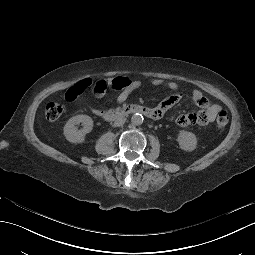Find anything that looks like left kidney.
<instances>
[{
    "instance_id": "5707ae66",
    "label": "left kidney",
    "mask_w": 255,
    "mask_h": 255,
    "mask_svg": "<svg viewBox=\"0 0 255 255\" xmlns=\"http://www.w3.org/2000/svg\"><path fill=\"white\" fill-rule=\"evenodd\" d=\"M177 141L179 142L180 148L186 151H193L197 145L196 136L187 131H180Z\"/></svg>"
}]
</instances>
